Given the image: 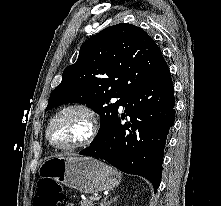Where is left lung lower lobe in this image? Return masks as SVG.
<instances>
[{
	"instance_id": "0a47b994",
	"label": "left lung lower lobe",
	"mask_w": 221,
	"mask_h": 206,
	"mask_svg": "<svg viewBox=\"0 0 221 206\" xmlns=\"http://www.w3.org/2000/svg\"><path fill=\"white\" fill-rule=\"evenodd\" d=\"M124 114L98 141L79 152L99 157L119 170L160 185L166 138L175 120V100L169 69L134 91L122 104ZM129 116L130 122L121 124Z\"/></svg>"
}]
</instances>
